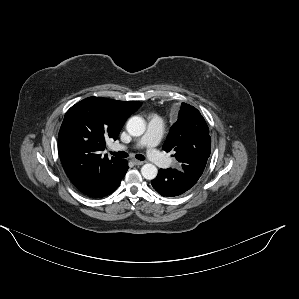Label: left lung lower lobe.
<instances>
[{
    "label": "left lung lower lobe",
    "instance_id": "left-lung-lower-lobe-1",
    "mask_svg": "<svg viewBox=\"0 0 299 299\" xmlns=\"http://www.w3.org/2000/svg\"><path fill=\"white\" fill-rule=\"evenodd\" d=\"M197 183L182 170L160 169L157 177L151 181L153 188L162 196L174 197L183 194Z\"/></svg>",
    "mask_w": 299,
    "mask_h": 299
}]
</instances>
